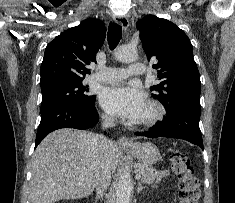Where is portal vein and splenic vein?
<instances>
[{
    "instance_id": "1",
    "label": "portal vein and splenic vein",
    "mask_w": 235,
    "mask_h": 203,
    "mask_svg": "<svg viewBox=\"0 0 235 203\" xmlns=\"http://www.w3.org/2000/svg\"><path fill=\"white\" fill-rule=\"evenodd\" d=\"M141 177V175L140 174H136V179H139Z\"/></svg>"
}]
</instances>
